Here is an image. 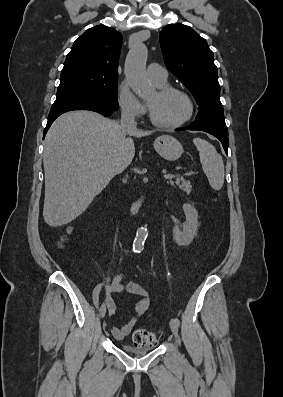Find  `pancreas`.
<instances>
[{
  "mask_svg": "<svg viewBox=\"0 0 283 397\" xmlns=\"http://www.w3.org/2000/svg\"><path fill=\"white\" fill-rule=\"evenodd\" d=\"M168 183L171 184L172 186L177 185L181 190H183L187 194H190V192L192 191L191 182L188 180H185L182 177L177 178L175 181L170 179L168 181Z\"/></svg>",
  "mask_w": 283,
  "mask_h": 397,
  "instance_id": "obj_1",
  "label": "pancreas"
}]
</instances>
